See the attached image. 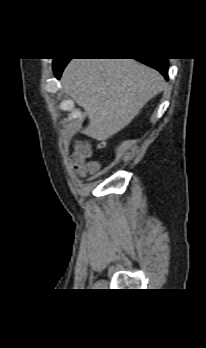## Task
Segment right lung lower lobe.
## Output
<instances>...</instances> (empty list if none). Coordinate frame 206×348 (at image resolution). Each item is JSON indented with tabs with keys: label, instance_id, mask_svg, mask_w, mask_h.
Returning <instances> with one entry per match:
<instances>
[{
	"label": "right lung lower lobe",
	"instance_id": "98d812e1",
	"mask_svg": "<svg viewBox=\"0 0 206 348\" xmlns=\"http://www.w3.org/2000/svg\"><path fill=\"white\" fill-rule=\"evenodd\" d=\"M69 60L70 59L60 60L53 66L54 73L58 79L60 78L61 73ZM137 60L158 70L165 77V79L168 80V59L143 58Z\"/></svg>",
	"mask_w": 206,
	"mask_h": 348
}]
</instances>
